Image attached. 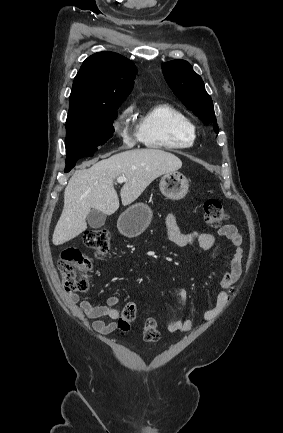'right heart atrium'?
I'll return each instance as SVG.
<instances>
[{"instance_id":"1","label":"right heart atrium","mask_w":283,"mask_h":433,"mask_svg":"<svg viewBox=\"0 0 283 433\" xmlns=\"http://www.w3.org/2000/svg\"><path fill=\"white\" fill-rule=\"evenodd\" d=\"M131 111V106L126 107L113 119L111 124L113 135L119 143V150H126L134 147L140 139L138 132L134 128L130 127L127 122Z\"/></svg>"}]
</instances>
